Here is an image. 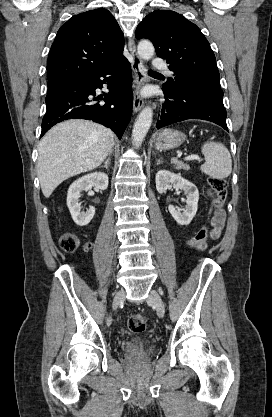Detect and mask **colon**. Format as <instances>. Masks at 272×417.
<instances>
[{"label": "colon", "mask_w": 272, "mask_h": 417, "mask_svg": "<svg viewBox=\"0 0 272 417\" xmlns=\"http://www.w3.org/2000/svg\"><path fill=\"white\" fill-rule=\"evenodd\" d=\"M209 185L215 194V198L212 201V210L216 211L221 209L225 202L228 183L223 178H211L209 180ZM210 231V226H203L187 241V246L190 248L198 247L201 243L206 241L210 235ZM60 246L65 252L71 253L80 246V240L74 234L64 233L60 237ZM85 247L88 248L89 245H86ZM128 327L134 333H142L147 327L146 318L141 314H133L128 319Z\"/></svg>", "instance_id": "5ec220e1"}]
</instances>
